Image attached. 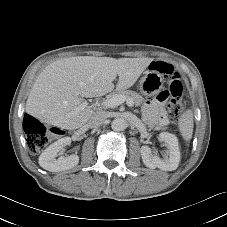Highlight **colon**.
<instances>
[{
    "mask_svg": "<svg viewBox=\"0 0 227 227\" xmlns=\"http://www.w3.org/2000/svg\"><path fill=\"white\" fill-rule=\"evenodd\" d=\"M151 69L162 73L169 81L168 90L171 92V97L168 102V111L171 120L177 122L184 110L182 102L183 85L180 81V75L174 70L173 66L161 61L152 63ZM23 126L27 135V145L31 152L36 153L47 145L50 129L45 127L38 119L27 116L24 119Z\"/></svg>",
    "mask_w": 227,
    "mask_h": 227,
    "instance_id": "colon-1",
    "label": "colon"
}]
</instances>
